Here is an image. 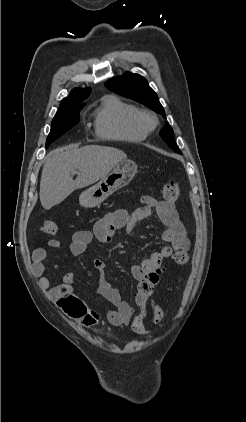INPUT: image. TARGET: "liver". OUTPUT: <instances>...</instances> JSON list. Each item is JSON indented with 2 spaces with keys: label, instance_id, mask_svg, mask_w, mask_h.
<instances>
[{
  "label": "liver",
  "instance_id": "1",
  "mask_svg": "<svg viewBox=\"0 0 246 422\" xmlns=\"http://www.w3.org/2000/svg\"><path fill=\"white\" fill-rule=\"evenodd\" d=\"M127 158L116 148L89 145L53 150L47 157L40 181V202L44 209L64 201L74 190L101 180L112 167ZM78 170L76 180L72 174Z\"/></svg>",
  "mask_w": 246,
  "mask_h": 422
}]
</instances>
